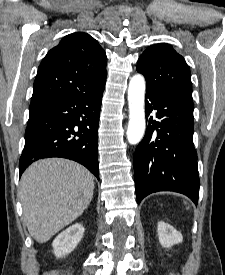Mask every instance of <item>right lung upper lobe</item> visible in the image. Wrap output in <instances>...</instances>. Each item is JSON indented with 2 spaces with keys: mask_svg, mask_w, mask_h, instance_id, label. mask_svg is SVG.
<instances>
[{
  "mask_svg": "<svg viewBox=\"0 0 225 275\" xmlns=\"http://www.w3.org/2000/svg\"><path fill=\"white\" fill-rule=\"evenodd\" d=\"M106 77V54L90 35L65 36L42 60L30 106L95 91Z\"/></svg>",
  "mask_w": 225,
  "mask_h": 275,
  "instance_id": "cb5924a9",
  "label": "right lung upper lobe"
}]
</instances>
